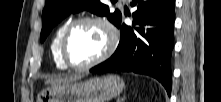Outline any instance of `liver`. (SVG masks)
I'll list each match as a JSON object with an SVG mask.
<instances>
[{"label": "liver", "instance_id": "1", "mask_svg": "<svg viewBox=\"0 0 221 102\" xmlns=\"http://www.w3.org/2000/svg\"><path fill=\"white\" fill-rule=\"evenodd\" d=\"M70 81L71 79H67V78H56L54 80L47 81L46 84L60 85V84L67 83Z\"/></svg>", "mask_w": 221, "mask_h": 102}]
</instances>
